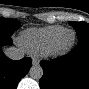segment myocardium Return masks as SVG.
<instances>
[{"label":"myocardium","instance_id":"obj_1","mask_svg":"<svg viewBox=\"0 0 89 89\" xmlns=\"http://www.w3.org/2000/svg\"><path fill=\"white\" fill-rule=\"evenodd\" d=\"M68 34L69 39L67 42L63 44H59V39L62 35ZM76 40V33L72 29H64L58 34L56 37H54L51 41V44L49 45L47 51L45 54L47 55H61L66 52H68L74 45Z\"/></svg>","mask_w":89,"mask_h":89}]
</instances>
